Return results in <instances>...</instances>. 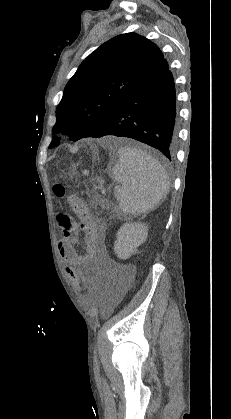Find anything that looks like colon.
Here are the masks:
<instances>
[{"label": "colon", "instance_id": "1", "mask_svg": "<svg viewBox=\"0 0 231 419\" xmlns=\"http://www.w3.org/2000/svg\"><path fill=\"white\" fill-rule=\"evenodd\" d=\"M55 194L64 199L67 205L70 208L71 213L79 219L78 228L85 232L86 234V251H85V258L82 261V270L80 277L83 279V286L84 289L90 295H95L96 293H100L101 286L94 281L93 278H90L89 275L85 276L87 265L89 261L95 260L98 257V251L100 249L99 241L96 239V232L94 229V219L91 213L89 212L85 202L74 194H66L65 188L63 185L57 183L53 187ZM89 260V261H88Z\"/></svg>", "mask_w": 231, "mask_h": 419}]
</instances>
